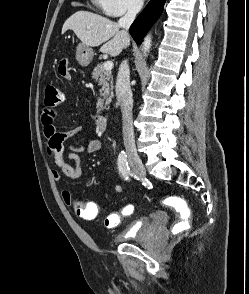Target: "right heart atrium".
Returning <instances> with one entry per match:
<instances>
[{
	"label": "right heart atrium",
	"mask_w": 249,
	"mask_h": 294,
	"mask_svg": "<svg viewBox=\"0 0 249 294\" xmlns=\"http://www.w3.org/2000/svg\"><path fill=\"white\" fill-rule=\"evenodd\" d=\"M104 14L119 17L136 12L142 7V0H96Z\"/></svg>",
	"instance_id": "1"
}]
</instances>
